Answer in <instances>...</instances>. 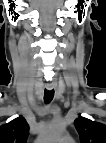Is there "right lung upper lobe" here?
I'll list each match as a JSON object with an SVG mask.
<instances>
[{
  "label": "right lung upper lobe",
  "instance_id": "1",
  "mask_svg": "<svg viewBox=\"0 0 106 143\" xmlns=\"http://www.w3.org/2000/svg\"><path fill=\"white\" fill-rule=\"evenodd\" d=\"M29 125L23 116L0 126V143H26Z\"/></svg>",
  "mask_w": 106,
  "mask_h": 143
}]
</instances>
